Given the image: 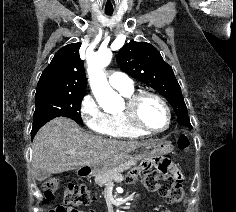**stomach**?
Masks as SVG:
<instances>
[{
	"label": "stomach",
	"instance_id": "stomach-1",
	"mask_svg": "<svg viewBox=\"0 0 236 212\" xmlns=\"http://www.w3.org/2000/svg\"><path fill=\"white\" fill-rule=\"evenodd\" d=\"M172 149L173 146L171 145V143L159 139L141 142L124 154L108 158L97 165L89 167V172L85 171L83 168H80L77 173L79 176L88 174L97 176L109 169L118 166L124 161L147 160L154 156L165 155L171 152Z\"/></svg>",
	"mask_w": 236,
	"mask_h": 212
}]
</instances>
